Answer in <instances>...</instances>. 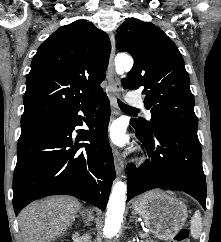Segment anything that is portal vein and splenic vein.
Listing matches in <instances>:
<instances>
[{
    "label": "portal vein and splenic vein",
    "mask_w": 221,
    "mask_h": 242,
    "mask_svg": "<svg viewBox=\"0 0 221 242\" xmlns=\"http://www.w3.org/2000/svg\"><path fill=\"white\" fill-rule=\"evenodd\" d=\"M148 231H149V230L146 229V230H145V233H142V234H141V237L144 238V237L148 236Z\"/></svg>",
    "instance_id": "portal-vein-and-splenic-vein-1"
}]
</instances>
